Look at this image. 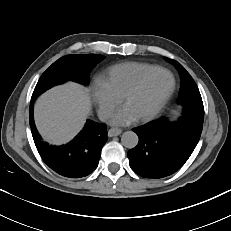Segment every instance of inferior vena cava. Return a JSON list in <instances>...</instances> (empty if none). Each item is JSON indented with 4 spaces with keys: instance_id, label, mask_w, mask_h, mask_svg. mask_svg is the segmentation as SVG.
Here are the masks:
<instances>
[{
    "instance_id": "1",
    "label": "inferior vena cava",
    "mask_w": 231,
    "mask_h": 231,
    "mask_svg": "<svg viewBox=\"0 0 231 231\" xmlns=\"http://www.w3.org/2000/svg\"><path fill=\"white\" fill-rule=\"evenodd\" d=\"M99 118H100V120L105 121L106 119L109 118V114L105 113V112L100 113Z\"/></svg>"
}]
</instances>
